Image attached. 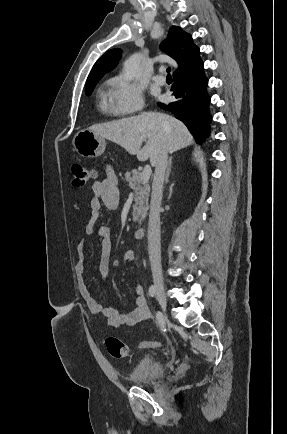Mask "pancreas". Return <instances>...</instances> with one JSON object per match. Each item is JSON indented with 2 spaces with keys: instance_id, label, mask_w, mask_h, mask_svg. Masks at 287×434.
Returning <instances> with one entry per match:
<instances>
[{
  "instance_id": "cf45deb5",
  "label": "pancreas",
  "mask_w": 287,
  "mask_h": 434,
  "mask_svg": "<svg viewBox=\"0 0 287 434\" xmlns=\"http://www.w3.org/2000/svg\"><path fill=\"white\" fill-rule=\"evenodd\" d=\"M125 179L128 182V186L134 191L133 204V221L141 222L148 211L149 191L150 186L148 182L141 181V173L137 170L127 172Z\"/></svg>"
}]
</instances>
